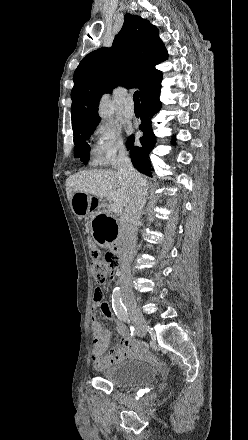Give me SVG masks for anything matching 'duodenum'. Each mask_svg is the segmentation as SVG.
<instances>
[{
  "instance_id": "obj_1",
  "label": "duodenum",
  "mask_w": 248,
  "mask_h": 440,
  "mask_svg": "<svg viewBox=\"0 0 248 440\" xmlns=\"http://www.w3.org/2000/svg\"><path fill=\"white\" fill-rule=\"evenodd\" d=\"M112 252H113L115 255H117V256H120V255H121L122 250H121V245H120L119 240L116 241L115 246H112ZM117 272H118V271H117Z\"/></svg>"
}]
</instances>
